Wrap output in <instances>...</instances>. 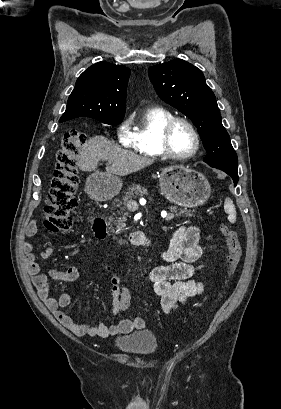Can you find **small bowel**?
Here are the masks:
<instances>
[{"label": "small bowel", "instance_id": "1", "mask_svg": "<svg viewBox=\"0 0 281 409\" xmlns=\"http://www.w3.org/2000/svg\"><path fill=\"white\" fill-rule=\"evenodd\" d=\"M37 224L36 221L29 224L27 236L31 237L36 234ZM199 241L200 234L196 227L182 225L175 231L168 246L158 250L159 256L166 264L152 268L148 273V279L155 294L161 298V308L166 314L173 313L180 304L186 303L188 299L200 295L203 291L202 284L193 278V263L199 259L202 252ZM24 249L26 252V266L39 299L50 309L57 320L71 332L78 336L94 335L104 338L110 335H124L134 330L144 329L145 322L140 317L121 320L111 326L103 324L90 326L76 323L62 310L71 304L70 294L62 293L56 299L50 297L49 291L50 281H75L79 277L78 269L76 267H69L66 270L51 269L48 275H45L40 272L36 256L32 252V243L26 242ZM53 252L54 248H49L42 253V257L47 258ZM83 259H87V257ZM95 261L110 274V294L114 314L126 310L131 300L130 291L121 287L120 277L107 263L97 259Z\"/></svg>", "mask_w": 281, "mask_h": 409}]
</instances>
